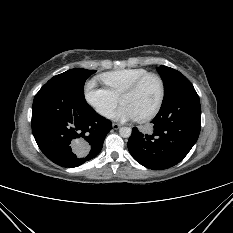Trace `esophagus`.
<instances>
[{"label": "esophagus", "mask_w": 233, "mask_h": 233, "mask_svg": "<svg viewBox=\"0 0 233 233\" xmlns=\"http://www.w3.org/2000/svg\"><path fill=\"white\" fill-rule=\"evenodd\" d=\"M120 126H121V125H120V124H117V123H113V124H112V127H113L114 130L119 129Z\"/></svg>", "instance_id": "34e87169"}]
</instances>
